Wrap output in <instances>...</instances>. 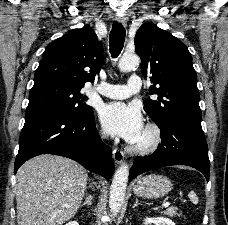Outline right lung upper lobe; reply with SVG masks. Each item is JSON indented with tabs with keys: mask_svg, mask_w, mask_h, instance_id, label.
<instances>
[{
	"mask_svg": "<svg viewBox=\"0 0 228 225\" xmlns=\"http://www.w3.org/2000/svg\"><path fill=\"white\" fill-rule=\"evenodd\" d=\"M103 61V47L93 29H73L47 45L34 85L61 82L83 88L85 82H94Z\"/></svg>",
	"mask_w": 228,
	"mask_h": 225,
	"instance_id": "obj_1",
	"label": "right lung upper lobe"
}]
</instances>
